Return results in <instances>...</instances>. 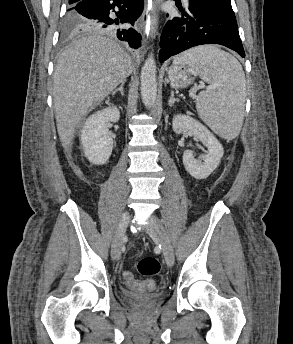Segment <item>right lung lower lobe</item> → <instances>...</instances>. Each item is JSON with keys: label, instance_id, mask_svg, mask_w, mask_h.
Here are the masks:
<instances>
[{"label": "right lung lower lobe", "instance_id": "1", "mask_svg": "<svg viewBox=\"0 0 293 344\" xmlns=\"http://www.w3.org/2000/svg\"><path fill=\"white\" fill-rule=\"evenodd\" d=\"M143 7V0H79L72 9L90 21L91 29L103 30L136 49L140 46L141 35L122 23L133 24Z\"/></svg>", "mask_w": 293, "mask_h": 344}]
</instances>
